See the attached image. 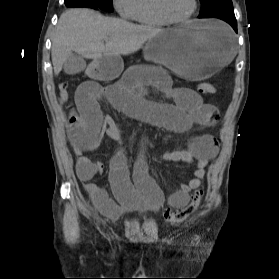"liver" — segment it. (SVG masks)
I'll use <instances>...</instances> for the list:
<instances>
[{
	"label": "liver",
	"instance_id": "liver-1",
	"mask_svg": "<svg viewBox=\"0 0 279 279\" xmlns=\"http://www.w3.org/2000/svg\"><path fill=\"white\" fill-rule=\"evenodd\" d=\"M162 31L105 17L91 9H69L60 16L52 39L54 74L61 72L72 51L94 62L102 57L129 55Z\"/></svg>",
	"mask_w": 279,
	"mask_h": 279
}]
</instances>
